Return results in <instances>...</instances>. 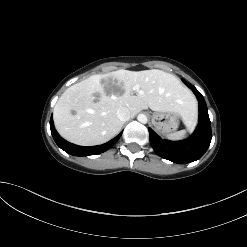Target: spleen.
Instances as JSON below:
<instances>
[{
  "label": "spleen",
  "mask_w": 247,
  "mask_h": 247,
  "mask_svg": "<svg viewBox=\"0 0 247 247\" xmlns=\"http://www.w3.org/2000/svg\"><path fill=\"white\" fill-rule=\"evenodd\" d=\"M185 124L188 128L187 130H180V131L168 134L167 135L168 139L173 140V141H178V140L184 139L187 135L188 130L192 128V122L185 123Z\"/></svg>",
  "instance_id": "obj_1"
}]
</instances>
